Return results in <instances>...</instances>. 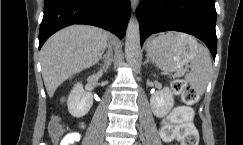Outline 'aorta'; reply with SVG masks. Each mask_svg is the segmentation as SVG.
I'll return each mask as SVG.
<instances>
[{"mask_svg": "<svg viewBox=\"0 0 243 145\" xmlns=\"http://www.w3.org/2000/svg\"><path fill=\"white\" fill-rule=\"evenodd\" d=\"M140 53V31L137 18L131 17L127 26L125 41V57L130 65H134Z\"/></svg>", "mask_w": 243, "mask_h": 145, "instance_id": "aorta-1", "label": "aorta"}]
</instances>
